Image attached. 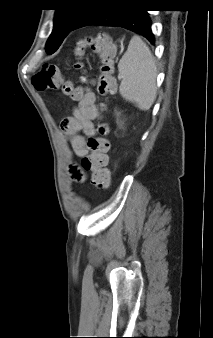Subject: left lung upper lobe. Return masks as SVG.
<instances>
[{
    "label": "left lung upper lobe",
    "instance_id": "5c2ea615",
    "mask_svg": "<svg viewBox=\"0 0 213 338\" xmlns=\"http://www.w3.org/2000/svg\"><path fill=\"white\" fill-rule=\"evenodd\" d=\"M109 0H59L63 6L55 12L53 31L46 43L48 54L54 53L74 26L94 6Z\"/></svg>",
    "mask_w": 213,
    "mask_h": 338
}]
</instances>
